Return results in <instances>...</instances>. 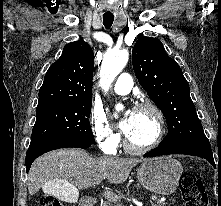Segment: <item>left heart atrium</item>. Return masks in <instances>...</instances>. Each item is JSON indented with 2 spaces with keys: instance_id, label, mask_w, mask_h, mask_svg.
Masks as SVG:
<instances>
[{
  "instance_id": "left-heart-atrium-1",
  "label": "left heart atrium",
  "mask_w": 221,
  "mask_h": 206,
  "mask_svg": "<svg viewBox=\"0 0 221 206\" xmlns=\"http://www.w3.org/2000/svg\"><path fill=\"white\" fill-rule=\"evenodd\" d=\"M132 111H126L120 124L119 127L120 129L127 135L128 132L130 131L131 128V123H132Z\"/></svg>"
}]
</instances>
